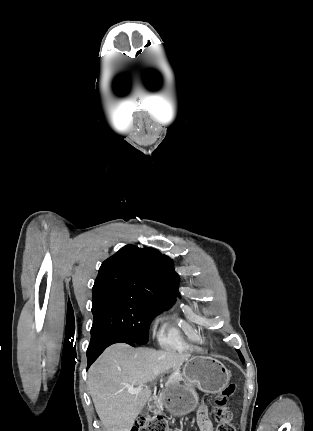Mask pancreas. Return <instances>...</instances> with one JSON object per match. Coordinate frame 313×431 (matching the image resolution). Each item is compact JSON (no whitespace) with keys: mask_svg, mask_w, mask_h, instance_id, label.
Returning <instances> with one entry per match:
<instances>
[{"mask_svg":"<svg viewBox=\"0 0 313 431\" xmlns=\"http://www.w3.org/2000/svg\"><path fill=\"white\" fill-rule=\"evenodd\" d=\"M176 380H177L178 382H180V381H184V378L182 377V375H179V376L176 378ZM159 407H160L161 409H163V403H162V402H160V403H159Z\"/></svg>","mask_w":313,"mask_h":431,"instance_id":"cf45deb5","label":"pancreas"}]
</instances>
